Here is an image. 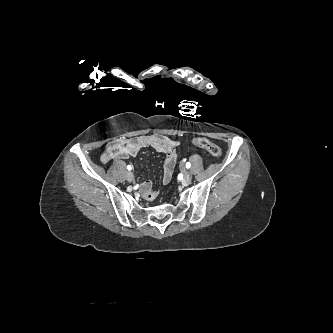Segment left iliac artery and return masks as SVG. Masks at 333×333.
Wrapping results in <instances>:
<instances>
[{
	"mask_svg": "<svg viewBox=\"0 0 333 333\" xmlns=\"http://www.w3.org/2000/svg\"><path fill=\"white\" fill-rule=\"evenodd\" d=\"M190 167H191L190 162H187V163H186V168L188 169V168H190Z\"/></svg>",
	"mask_w": 333,
	"mask_h": 333,
	"instance_id": "left-iliac-artery-1",
	"label": "left iliac artery"
}]
</instances>
